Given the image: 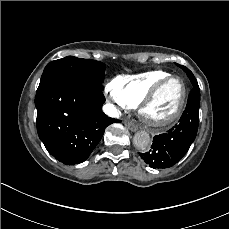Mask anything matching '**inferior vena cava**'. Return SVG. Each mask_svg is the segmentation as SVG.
Wrapping results in <instances>:
<instances>
[{
	"mask_svg": "<svg viewBox=\"0 0 229 229\" xmlns=\"http://www.w3.org/2000/svg\"><path fill=\"white\" fill-rule=\"evenodd\" d=\"M103 110H104V112L106 113V114H108V115H112V116H115V112L117 113V116H118V111H117V109L114 107V105L113 104H105L104 106H103Z\"/></svg>",
	"mask_w": 229,
	"mask_h": 229,
	"instance_id": "1",
	"label": "inferior vena cava"
}]
</instances>
